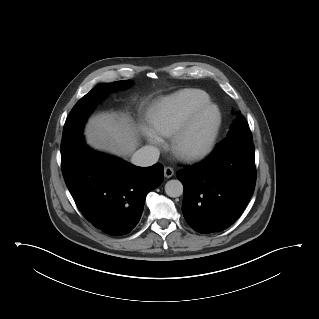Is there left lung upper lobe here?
Returning a JSON list of instances; mask_svg holds the SVG:
<instances>
[{
  "instance_id": "obj_1",
  "label": "left lung upper lobe",
  "mask_w": 319,
  "mask_h": 319,
  "mask_svg": "<svg viewBox=\"0 0 319 319\" xmlns=\"http://www.w3.org/2000/svg\"><path fill=\"white\" fill-rule=\"evenodd\" d=\"M234 139L252 142L251 131L243 115H240L234 120V122L230 126L228 136L221 143H225L229 140Z\"/></svg>"
}]
</instances>
